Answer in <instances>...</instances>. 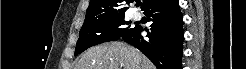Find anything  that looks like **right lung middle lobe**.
I'll return each mask as SVG.
<instances>
[{
	"label": "right lung middle lobe",
	"mask_w": 246,
	"mask_h": 69,
	"mask_svg": "<svg viewBox=\"0 0 246 69\" xmlns=\"http://www.w3.org/2000/svg\"><path fill=\"white\" fill-rule=\"evenodd\" d=\"M130 23L124 20V15L84 21L76 44L75 56L92 46L120 39L124 33L132 28L122 29L119 27Z\"/></svg>",
	"instance_id": "right-lung-middle-lobe-1"
}]
</instances>
